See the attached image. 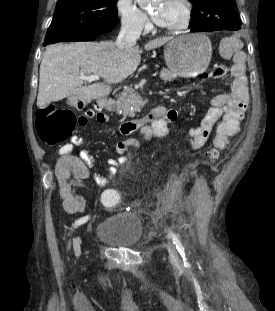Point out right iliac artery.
I'll list each match as a JSON object with an SVG mask.
<instances>
[{
    "mask_svg": "<svg viewBox=\"0 0 275 311\" xmlns=\"http://www.w3.org/2000/svg\"><path fill=\"white\" fill-rule=\"evenodd\" d=\"M88 220V216L82 217L80 219H78L77 221H75V223L73 224V227H77L83 223H85Z\"/></svg>",
    "mask_w": 275,
    "mask_h": 311,
    "instance_id": "obj_1",
    "label": "right iliac artery"
}]
</instances>
